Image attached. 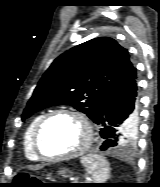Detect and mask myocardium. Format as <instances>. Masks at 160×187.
<instances>
[{
    "instance_id": "obj_1",
    "label": "myocardium",
    "mask_w": 160,
    "mask_h": 187,
    "mask_svg": "<svg viewBox=\"0 0 160 187\" xmlns=\"http://www.w3.org/2000/svg\"><path fill=\"white\" fill-rule=\"evenodd\" d=\"M59 115H69L78 118L85 127V140L83 144L76 150L67 154H57L51 155L44 152L41 148V135L46 124L54 117ZM93 140V128L89 118L82 112L74 109H58L46 113L37 123L34 133H33V148L35 153L40 157V159L48 162H56L62 160H69L79 157L87 152L92 144Z\"/></svg>"
}]
</instances>
